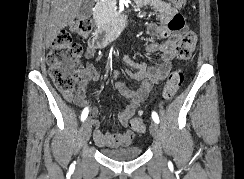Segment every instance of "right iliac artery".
I'll use <instances>...</instances> for the list:
<instances>
[{
	"mask_svg": "<svg viewBox=\"0 0 244 179\" xmlns=\"http://www.w3.org/2000/svg\"><path fill=\"white\" fill-rule=\"evenodd\" d=\"M88 113H89L88 108H85V109L83 110L82 114H81V120H82V121H84V120L87 118Z\"/></svg>",
	"mask_w": 244,
	"mask_h": 179,
	"instance_id": "right-iliac-artery-1",
	"label": "right iliac artery"
}]
</instances>
